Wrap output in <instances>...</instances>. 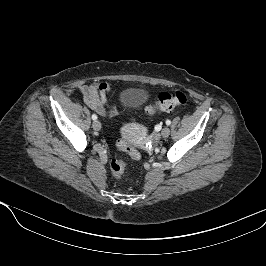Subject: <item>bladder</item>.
Masks as SVG:
<instances>
[{
  "instance_id": "1",
  "label": "bladder",
  "mask_w": 266,
  "mask_h": 266,
  "mask_svg": "<svg viewBox=\"0 0 266 266\" xmlns=\"http://www.w3.org/2000/svg\"><path fill=\"white\" fill-rule=\"evenodd\" d=\"M146 99V93L141 89H126L122 93L123 105L128 110H134L141 107Z\"/></svg>"
}]
</instances>
